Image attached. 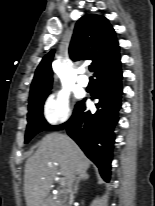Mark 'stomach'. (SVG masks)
Returning a JSON list of instances; mask_svg holds the SVG:
<instances>
[{"label": "stomach", "instance_id": "0dacf381", "mask_svg": "<svg viewBox=\"0 0 155 206\" xmlns=\"http://www.w3.org/2000/svg\"><path fill=\"white\" fill-rule=\"evenodd\" d=\"M40 206H49V204L46 201H44Z\"/></svg>", "mask_w": 155, "mask_h": 206}]
</instances>
